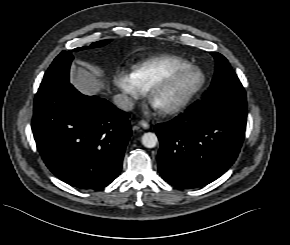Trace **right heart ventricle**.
Here are the masks:
<instances>
[{"instance_id": "right-heart-ventricle-1", "label": "right heart ventricle", "mask_w": 290, "mask_h": 245, "mask_svg": "<svg viewBox=\"0 0 290 245\" xmlns=\"http://www.w3.org/2000/svg\"><path fill=\"white\" fill-rule=\"evenodd\" d=\"M188 65H191L190 62L182 57L162 55L147 59L135 66L132 74L142 90L148 91L158 78Z\"/></svg>"}]
</instances>
